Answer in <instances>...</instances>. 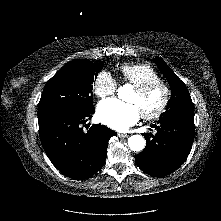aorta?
Listing matches in <instances>:
<instances>
[{"label": "aorta", "mask_w": 221, "mask_h": 221, "mask_svg": "<svg viewBox=\"0 0 221 221\" xmlns=\"http://www.w3.org/2000/svg\"><path fill=\"white\" fill-rule=\"evenodd\" d=\"M126 91H130V88L127 85L120 87L118 89V96H121V94ZM145 144L146 142L142 135H132L128 139V146L132 151H142L145 147Z\"/></svg>", "instance_id": "aorta-1"}]
</instances>
